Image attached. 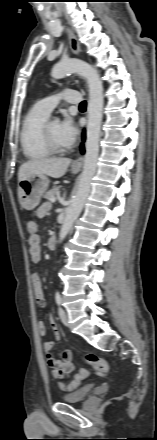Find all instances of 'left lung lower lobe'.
Segmentation results:
<instances>
[{
    "mask_svg": "<svg viewBox=\"0 0 157 440\" xmlns=\"http://www.w3.org/2000/svg\"><path fill=\"white\" fill-rule=\"evenodd\" d=\"M82 139H83V141L85 140V132H83ZM81 153H84V146H83V144H81Z\"/></svg>",
    "mask_w": 157,
    "mask_h": 440,
    "instance_id": "left-lung-lower-lobe-1",
    "label": "left lung lower lobe"
}]
</instances>
